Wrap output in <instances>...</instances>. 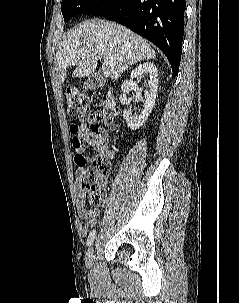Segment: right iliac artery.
I'll list each match as a JSON object with an SVG mask.
<instances>
[{
    "mask_svg": "<svg viewBox=\"0 0 239 303\" xmlns=\"http://www.w3.org/2000/svg\"><path fill=\"white\" fill-rule=\"evenodd\" d=\"M95 235H96V231L95 230H92L88 236V239H87V245L88 246H91L93 244V241L95 239Z\"/></svg>",
    "mask_w": 239,
    "mask_h": 303,
    "instance_id": "right-iliac-artery-1",
    "label": "right iliac artery"
}]
</instances>
